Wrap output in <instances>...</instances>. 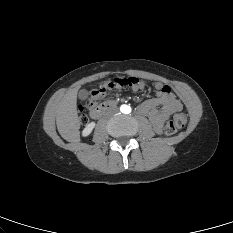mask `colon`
<instances>
[{"mask_svg": "<svg viewBox=\"0 0 233 233\" xmlns=\"http://www.w3.org/2000/svg\"><path fill=\"white\" fill-rule=\"evenodd\" d=\"M138 80L136 78H115L112 81L105 83L104 85L100 86L98 89H95L91 92L89 102L87 104L88 107H93L99 100L104 98L110 93V90L115 87H131L134 85ZM83 109L81 108V115L80 120L82 123L86 122V116L82 112ZM187 122V116L184 113H177L175 114L165 125V133L167 135H172L176 133L179 129L183 128Z\"/></svg>", "mask_w": 233, "mask_h": 233, "instance_id": "1", "label": "colon"}]
</instances>
